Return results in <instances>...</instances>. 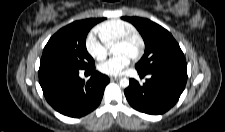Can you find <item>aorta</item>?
<instances>
[{"label": "aorta", "instance_id": "762f6f07", "mask_svg": "<svg viewBox=\"0 0 225 132\" xmlns=\"http://www.w3.org/2000/svg\"><path fill=\"white\" fill-rule=\"evenodd\" d=\"M110 53H114L113 49L111 48ZM120 86L123 88H127L129 86V79L127 78H121L120 80Z\"/></svg>", "mask_w": 225, "mask_h": 132}]
</instances>
